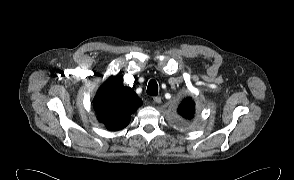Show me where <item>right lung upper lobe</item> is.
<instances>
[{
	"mask_svg": "<svg viewBox=\"0 0 294 180\" xmlns=\"http://www.w3.org/2000/svg\"><path fill=\"white\" fill-rule=\"evenodd\" d=\"M141 105L137 94L123 85L116 77H110L98 90L94 98L97 119L109 130L126 127L131 114Z\"/></svg>",
	"mask_w": 294,
	"mask_h": 180,
	"instance_id": "1",
	"label": "right lung upper lobe"
}]
</instances>
